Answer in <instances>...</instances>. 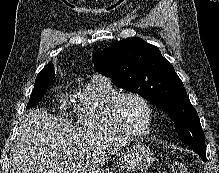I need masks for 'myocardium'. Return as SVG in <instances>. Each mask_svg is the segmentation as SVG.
Instances as JSON below:
<instances>
[{"instance_id":"1","label":"myocardium","mask_w":219,"mask_h":173,"mask_svg":"<svg viewBox=\"0 0 219 173\" xmlns=\"http://www.w3.org/2000/svg\"><path fill=\"white\" fill-rule=\"evenodd\" d=\"M127 98H136L140 100L146 106L149 112V120H148V124L145 130L135 131V130L129 129L123 123L122 118H121V107H122L123 102ZM109 111H110V117H111L112 122L118 128V130L125 135L131 136V137H145L149 135L153 130V125L155 121L154 106L148 98H146L144 95L138 92L128 91V92L119 93L111 102Z\"/></svg>"}]
</instances>
